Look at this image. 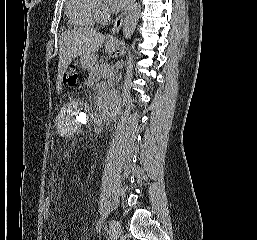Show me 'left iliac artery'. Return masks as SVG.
Instances as JSON below:
<instances>
[{
    "mask_svg": "<svg viewBox=\"0 0 257 240\" xmlns=\"http://www.w3.org/2000/svg\"><path fill=\"white\" fill-rule=\"evenodd\" d=\"M103 225V219H100L99 222L97 223V232H100V229L102 228Z\"/></svg>",
    "mask_w": 257,
    "mask_h": 240,
    "instance_id": "obj_1",
    "label": "left iliac artery"
}]
</instances>
